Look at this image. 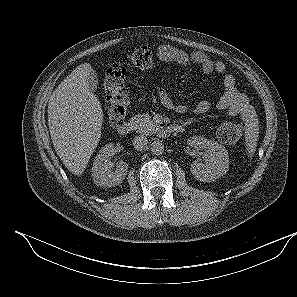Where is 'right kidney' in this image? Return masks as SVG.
Here are the masks:
<instances>
[{
	"mask_svg": "<svg viewBox=\"0 0 297 297\" xmlns=\"http://www.w3.org/2000/svg\"><path fill=\"white\" fill-rule=\"evenodd\" d=\"M115 154V147L113 144L105 145L99 154L95 157L92 176L94 183L102 187H112L122 183L128 170V164L121 161L115 170L109 157Z\"/></svg>",
	"mask_w": 297,
	"mask_h": 297,
	"instance_id": "right-kidney-1",
	"label": "right kidney"
}]
</instances>
